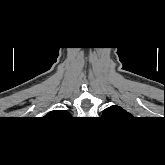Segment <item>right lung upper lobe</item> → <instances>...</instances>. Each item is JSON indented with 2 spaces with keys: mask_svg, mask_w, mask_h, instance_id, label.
<instances>
[{
  "mask_svg": "<svg viewBox=\"0 0 165 165\" xmlns=\"http://www.w3.org/2000/svg\"><path fill=\"white\" fill-rule=\"evenodd\" d=\"M62 115L67 116V115H69V113L67 111H63V110H54V111H51L50 113H48L45 117L55 118V117H59Z\"/></svg>",
  "mask_w": 165,
  "mask_h": 165,
  "instance_id": "obj_1",
  "label": "right lung upper lobe"
}]
</instances>
